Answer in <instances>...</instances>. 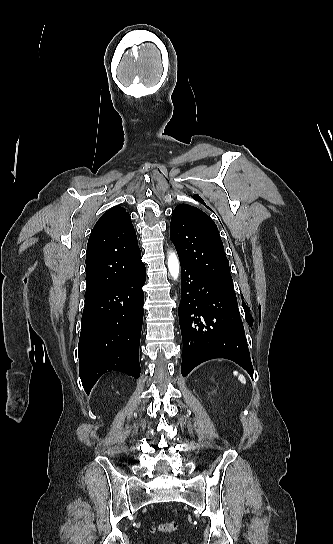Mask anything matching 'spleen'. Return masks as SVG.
I'll return each mask as SVG.
<instances>
[{"label": "spleen", "instance_id": "1", "mask_svg": "<svg viewBox=\"0 0 333 544\" xmlns=\"http://www.w3.org/2000/svg\"><path fill=\"white\" fill-rule=\"evenodd\" d=\"M233 374H234V376H237V377H238V380H239L242 384H246V379H245V377H244L242 374H239L237 371H234Z\"/></svg>", "mask_w": 333, "mask_h": 544}]
</instances>
